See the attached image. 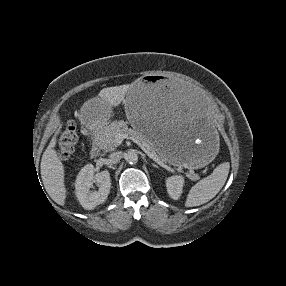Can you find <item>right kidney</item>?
I'll return each instance as SVG.
<instances>
[{
	"label": "right kidney",
	"mask_w": 286,
	"mask_h": 286,
	"mask_svg": "<svg viewBox=\"0 0 286 286\" xmlns=\"http://www.w3.org/2000/svg\"><path fill=\"white\" fill-rule=\"evenodd\" d=\"M93 182H97L98 191H90ZM111 180L107 170L95 174L92 164L85 165L77 175L75 181V194L83 208L94 209L103 203L110 192Z\"/></svg>",
	"instance_id": "ca27d5eb"
}]
</instances>
